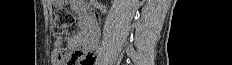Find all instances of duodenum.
Returning a JSON list of instances; mask_svg holds the SVG:
<instances>
[{
    "label": "duodenum",
    "mask_w": 232,
    "mask_h": 65,
    "mask_svg": "<svg viewBox=\"0 0 232 65\" xmlns=\"http://www.w3.org/2000/svg\"><path fill=\"white\" fill-rule=\"evenodd\" d=\"M76 9L80 15L83 32L87 39L96 41L99 36V25L95 14L80 2H77Z\"/></svg>",
    "instance_id": "410a0bca"
}]
</instances>
